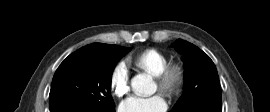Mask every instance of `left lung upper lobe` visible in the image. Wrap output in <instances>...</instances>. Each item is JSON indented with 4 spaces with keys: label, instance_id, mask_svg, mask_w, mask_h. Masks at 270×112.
<instances>
[{
    "label": "left lung upper lobe",
    "instance_id": "5c2ea615",
    "mask_svg": "<svg viewBox=\"0 0 270 112\" xmlns=\"http://www.w3.org/2000/svg\"><path fill=\"white\" fill-rule=\"evenodd\" d=\"M185 66L184 92L171 112H187L193 107L222 110L218 73L210 57L195 45L178 39L172 44Z\"/></svg>",
    "mask_w": 270,
    "mask_h": 112
}]
</instances>
